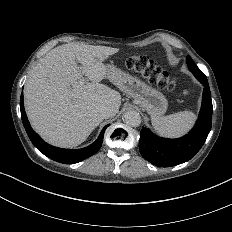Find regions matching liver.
Segmentation results:
<instances>
[{
    "mask_svg": "<svg viewBox=\"0 0 232 232\" xmlns=\"http://www.w3.org/2000/svg\"><path fill=\"white\" fill-rule=\"evenodd\" d=\"M119 50L64 44L36 64L25 85V106L32 126L47 142L78 146L102 122L100 107H110L112 116L118 113L120 93L100 82L108 72L105 61ZM83 74L92 82L80 83Z\"/></svg>",
    "mask_w": 232,
    "mask_h": 232,
    "instance_id": "liver-1",
    "label": "liver"
}]
</instances>
